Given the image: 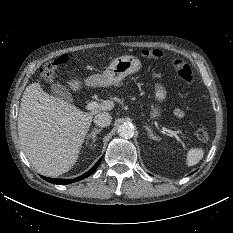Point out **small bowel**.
Returning a JSON list of instances; mask_svg holds the SVG:
<instances>
[{"mask_svg": "<svg viewBox=\"0 0 233 233\" xmlns=\"http://www.w3.org/2000/svg\"><path fill=\"white\" fill-rule=\"evenodd\" d=\"M174 115L176 117L181 118V117L184 116V111L182 109H180V108H176V109H174Z\"/></svg>", "mask_w": 233, "mask_h": 233, "instance_id": "c3829d8e", "label": "small bowel"}]
</instances>
